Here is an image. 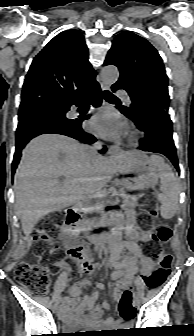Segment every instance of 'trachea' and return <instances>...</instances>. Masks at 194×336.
I'll return each instance as SVG.
<instances>
[{
  "mask_svg": "<svg viewBox=\"0 0 194 336\" xmlns=\"http://www.w3.org/2000/svg\"><path fill=\"white\" fill-rule=\"evenodd\" d=\"M103 96H104L105 100H107V101L119 100L116 96L111 94L109 91H104Z\"/></svg>",
  "mask_w": 194,
  "mask_h": 336,
  "instance_id": "3493384b",
  "label": "trachea"
}]
</instances>
